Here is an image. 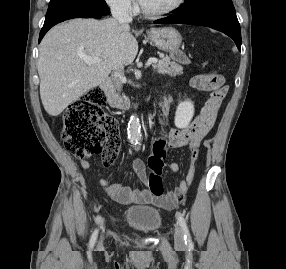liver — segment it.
Listing matches in <instances>:
<instances>
[{
  "label": "liver",
  "instance_id": "obj_1",
  "mask_svg": "<svg viewBox=\"0 0 286 269\" xmlns=\"http://www.w3.org/2000/svg\"><path fill=\"white\" fill-rule=\"evenodd\" d=\"M137 52L130 26L114 18H77L56 25L39 48L37 68L44 109L58 116L112 71L130 65ZM82 55L96 56L100 61L88 64Z\"/></svg>",
  "mask_w": 286,
  "mask_h": 269
}]
</instances>
